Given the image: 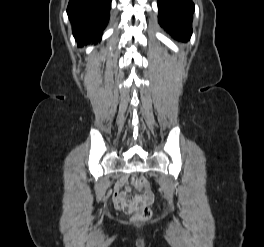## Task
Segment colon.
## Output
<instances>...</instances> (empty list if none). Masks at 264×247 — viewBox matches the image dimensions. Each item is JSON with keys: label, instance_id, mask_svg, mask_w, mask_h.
I'll return each mask as SVG.
<instances>
[{"label": "colon", "instance_id": "obj_1", "mask_svg": "<svg viewBox=\"0 0 264 247\" xmlns=\"http://www.w3.org/2000/svg\"><path fill=\"white\" fill-rule=\"evenodd\" d=\"M130 183L138 191H147L149 188V182L145 177H132ZM153 199L154 196L150 191L146 192L144 198L137 195H128L120 199L119 208L126 213H133L135 221L145 222L151 217V209L148 207V203L152 202Z\"/></svg>", "mask_w": 264, "mask_h": 247}]
</instances>
